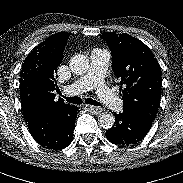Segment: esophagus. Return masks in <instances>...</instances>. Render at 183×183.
Returning a JSON list of instances; mask_svg holds the SVG:
<instances>
[{
    "label": "esophagus",
    "instance_id": "esophagus-1",
    "mask_svg": "<svg viewBox=\"0 0 183 183\" xmlns=\"http://www.w3.org/2000/svg\"><path fill=\"white\" fill-rule=\"evenodd\" d=\"M84 107H85L86 110H88L90 112H93V113H96V114H99V113L102 112V108L97 107V106L85 105Z\"/></svg>",
    "mask_w": 183,
    "mask_h": 183
}]
</instances>
